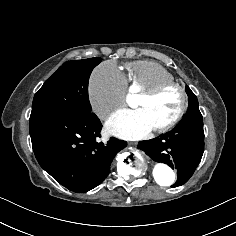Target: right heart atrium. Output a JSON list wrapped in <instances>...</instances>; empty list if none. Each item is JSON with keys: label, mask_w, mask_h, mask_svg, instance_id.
Returning a JSON list of instances; mask_svg holds the SVG:
<instances>
[{"label": "right heart atrium", "mask_w": 236, "mask_h": 236, "mask_svg": "<svg viewBox=\"0 0 236 236\" xmlns=\"http://www.w3.org/2000/svg\"><path fill=\"white\" fill-rule=\"evenodd\" d=\"M126 83L124 76L111 63L96 67L89 78L88 94L93 113L106 119L125 100Z\"/></svg>", "instance_id": "d8ad5b80"}]
</instances>
